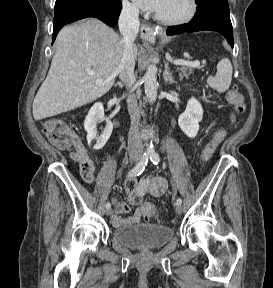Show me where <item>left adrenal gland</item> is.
<instances>
[{"mask_svg":"<svg viewBox=\"0 0 273 288\" xmlns=\"http://www.w3.org/2000/svg\"><path fill=\"white\" fill-rule=\"evenodd\" d=\"M163 78L165 80V83H176L174 77L172 76V72H170L169 64L165 63V70L163 72Z\"/></svg>","mask_w":273,"mask_h":288,"instance_id":"obj_1","label":"left adrenal gland"}]
</instances>
